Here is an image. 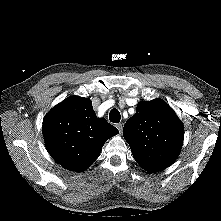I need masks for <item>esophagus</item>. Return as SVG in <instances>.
<instances>
[{
	"label": "esophagus",
	"instance_id": "1",
	"mask_svg": "<svg viewBox=\"0 0 221 221\" xmlns=\"http://www.w3.org/2000/svg\"><path fill=\"white\" fill-rule=\"evenodd\" d=\"M116 127L118 128L119 132L121 133L123 130V125L121 123L116 124Z\"/></svg>",
	"mask_w": 221,
	"mask_h": 221
}]
</instances>
